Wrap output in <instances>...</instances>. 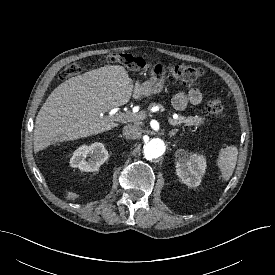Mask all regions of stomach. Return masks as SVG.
I'll return each mask as SVG.
<instances>
[{
  "instance_id": "0dacf381",
  "label": "stomach",
  "mask_w": 275,
  "mask_h": 275,
  "mask_svg": "<svg viewBox=\"0 0 275 275\" xmlns=\"http://www.w3.org/2000/svg\"><path fill=\"white\" fill-rule=\"evenodd\" d=\"M165 73L164 65L157 63L153 66L151 78L141 85L145 96L160 93L162 91L165 82Z\"/></svg>"
}]
</instances>
